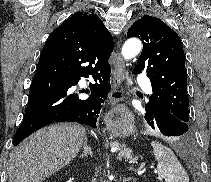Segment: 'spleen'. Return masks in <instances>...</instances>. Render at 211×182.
<instances>
[{"label":"spleen","mask_w":211,"mask_h":182,"mask_svg":"<svg viewBox=\"0 0 211 182\" xmlns=\"http://www.w3.org/2000/svg\"><path fill=\"white\" fill-rule=\"evenodd\" d=\"M151 146L158 161L157 173L165 182H189L187 172L169 147L157 141H152Z\"/></svg>","instance_id":"1"}]
</instances>
